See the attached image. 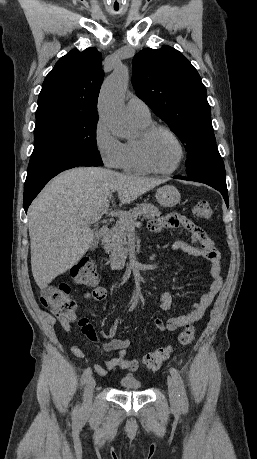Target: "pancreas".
<instances>
[{
  "mask_svg": "<svg viewBox=\"0 0 257 459\" xmlns=\"http://www.w3.org/2000/svg\"><path fill=\"white\" fill-rule=\"evenodd\" d=\"M127 216L130 218H137L138 216H143L148 219H153L154 217L160 216V210L150 204V203H141L136 207L126 212ZM129 224L126 220H119L116 222L102 239V244L104 245L105 251L114 256H123L127 253V235Z\"/></svg>",
  "mask_w": 257,
  "mask_h": 459,
  "instance_id": "cf45deb5",
  "label": "pancreas"
}]
</instances>
